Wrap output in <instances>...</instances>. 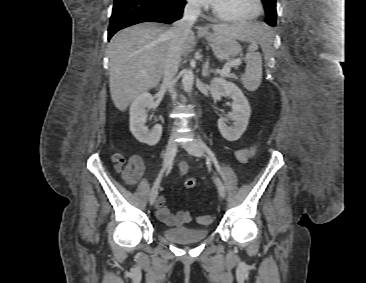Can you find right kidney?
Instances as JSON below:
<instances>
[{"mask_svg": "<svg viewBox=\"0 0 366 283\" xmlns=\"http://www.w3.org/2000/svg\"><path fill=\"white\" fill-rule=\"evenodd\" d=\"M155 106L152 95L147 92L138 95L130 106V131L139 142L150 146L156 145L162 135L161 125H155L151 131L145 126L147 121L146 108H154Z\"/></svg>", "mask_w": 366, "mask_h": 283, "instance_id": "obj_1", "label": "right kidney"}]
</instances>
